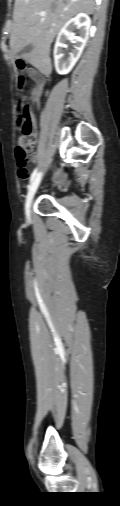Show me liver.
<instances>
[{"instance_id": "6515ba94", "label": "liver", "mask_w": 120, "mask_h": 506, "mask_svg": "<svg viewBox=\"0 0 120 506\" xmlns=\"http://www.w3.org/2000/svg\"><path fill=\"white\" fill-rule=\"evenodd\" d=\"M94 10L95 0H15L10 48L17 54L31 44L33 50L22 53V57L49 74L52 67L48 50L55 36L73 16L93 14Z\"/></svg>"}]
</instances>
